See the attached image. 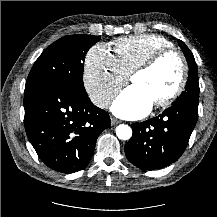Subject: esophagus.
I'll use <instances>...</instances> for the list:
<instances>
[{
	"instance_id": "obj_1",
	"label": "esophagus",
	"mask_w": 217,
	"mask_h": 217,
	"mask_svg": "<svg viewBox=\"0 0 217 217\" xmlns=\"http://www.w3.org/2000/svg\"><path fill=\"white\" fill-rule=\"evenodd\" d=\"M120 123V121L118 120V119H116V118H111V125L112 126H115V125H117V124H119Z\"/></svg>"
}]
</instances>
